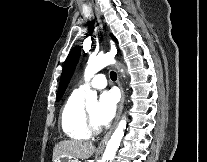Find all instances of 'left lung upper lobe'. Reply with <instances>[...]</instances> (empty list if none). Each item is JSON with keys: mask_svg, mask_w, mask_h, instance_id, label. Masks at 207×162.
I'll return each instance as SVG.
<instances>
[{"mask_svg": "<svg viewBox=\"0 0 207 162\" xmlns=\"http://www.w3.org/2000/svg\"><path fill=\"white\" fill-rule=\"evenodd\" d=\"M79 55H80V47L76 46L72 49V51L70 52V54L68 55L65 61L61 79H60V84H59V89H58V94H57V101L60 100V98L62 97L69 83V80L73 74L74 68L78 61Z\"/></svg>", "mask_w": 207, "mask_h": 162, "instance_id": "obj_1", "label": "left lung upper lobe"}]
</instances>
